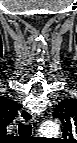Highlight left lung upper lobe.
Segmentation results:
<instances>
[{"instance_id":"obj_1","label":"left lung upper lobe","mask_w":77,"mask_h":143,"mask_svg":"<svg viewBox=\"0 0 77 143\" xmlns=\"http://www.w3.org/2000/svg\"><path fill=\"white\" fill-rule=\"evenodd\" d=\"M53 116L59 118L64 126L65 139H73L77 136V100L64 99L56 105Z\"/></svg>"}]
</instances>
